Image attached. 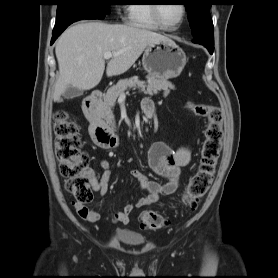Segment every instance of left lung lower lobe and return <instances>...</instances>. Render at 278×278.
<instances>
[{
    "label": "left lung lower lobe",
    "instance_id": "left-lung-lower-lobe-1",
    "mask_svg": "<svg viewBox=\"0 0 278 278\" xmlns=\"http://www.w3.org/2000/svg\"><path fill=\"white\" fill-rule=\"evenodd\" d=\"M201 45H203V44H201ZM204 46L208 49V51L210 52V54L213 53V51H214V46H208V45H204Z\"/></svg>",
    "mask_w": 278,
    "mask_h": 278
}]
</instances>
